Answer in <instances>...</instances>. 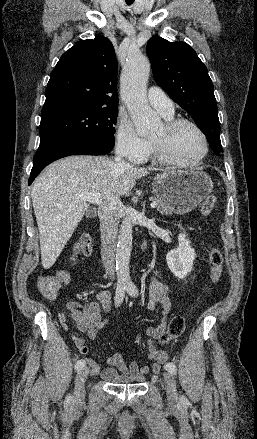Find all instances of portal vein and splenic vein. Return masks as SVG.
Instances as JSON below:
<instances>
[{
  "instance_id": "18ae733b",
  "label": "portal vein and splenic vein",
  "mask_w": 257,
  "mask_h": 439,
  "mask_svg": "<svg viewBox=\"0 0 257 439\" xmlns=\"http://www.w3.org/2000/svg\"><path fill=\"white\" fill-rule=\"evenodd\" d=\"M75 197L80 199L81 201H87L97 205L102 204L101 195L97 193H79L76 194ZM150 206L151 208H156L158 206V203L153 201Z\"/></svg>"
}]
</instances>
